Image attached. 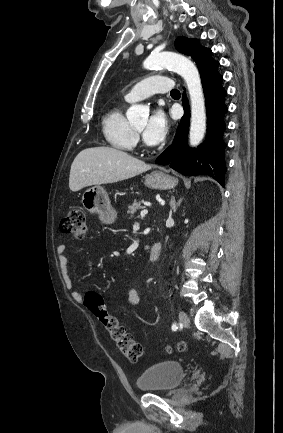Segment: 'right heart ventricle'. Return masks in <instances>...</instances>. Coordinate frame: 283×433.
<instances>
[{"instance_id":"1","label":"right heart ventricle","mask_w":283,"mask_h":433,"mask_svg":"<svg viewBox=\"0 0 283 433\" xmlns=\"http://www.w3.org/2000/svg\"><path fill=\"white\" fill-rule=\"evenodd\" d=\"M102 131L107 141L117 149L135 141V130L124 115L123 105L114 107L103 116Z\"/></svg>"}]
</instances>
